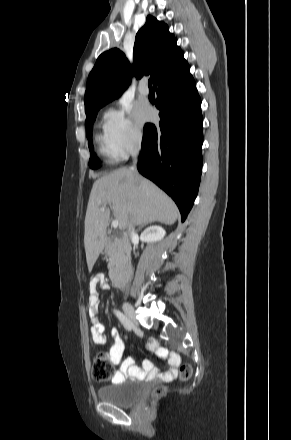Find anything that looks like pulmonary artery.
Segmentation results:
<instances>
[{
    "label": "pulmonary artery",
    "mask_w": 291,
    "mask_h": 440,
    "mask_svg": "<svg viewBox=\"0 0 291 440\" xmlns=\"http://www.w3.org/2000/svg\"><path fill=\"white\" fill-rule=\"evenodd\" d=\"M139 92L140 94H142L143 96H147L149 93V89L148 86L146 84V82H142L139 86Z\"/></svg>",
    "instance_id": "1"
}]
</instances>
